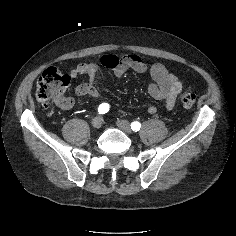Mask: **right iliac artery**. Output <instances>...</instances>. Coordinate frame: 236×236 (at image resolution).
I'll return each instance as SVG.
<instances>
[{"label":"right iliac artery","mask_w":236,"mask_h":236,"mask_svg":"<svg viewBox=\"0 0 236 236\" xmlns=\"http://www.w3.org/2000/svg\"><path fill=\"white\" fill-rule=\"evenodd\" d=\"M110 107L109 104L107 103H102L99 107H98V113L99 114H105L109 111Z\"/></svg>","instance_id":"1"}]
</instances>
